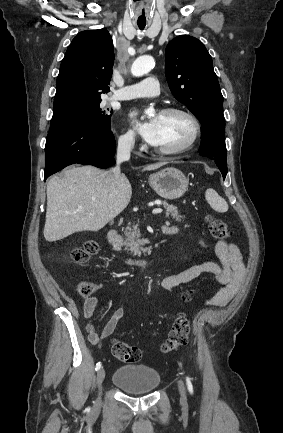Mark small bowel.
I'll use <instances>...</instances> for the list:
<instances>
[{
  "mask_svg": "<svg viewBox=\"0 0 283 433\" xmlns=\"http://www.w3.org/2000/svg\"><path fill=\"white\" fill-rule=\"evenodd\" d=\"M169 234H177L180 228L177 226L167 227ZM204 246L202 240H198ZM215 254L218 262H204L183 270L180 273L172 274L161 280V287L170 290L180 285L189 283L203 274L212 275L223 287L206 304L209 306H225L237 293L245 274L243 254L241 250L232 243L219 241L215 245ZM98 299L94 296L84 301L83 315L87 321L86 330L91 344H98L109 337L116 329L119 321L124 316V309L117 308L107 321L101 332H98L94 325V311Z\"/></svg>",
  "mask_w": 283,
  "mask_h": 433,
  "instance_id": "1",
  "label": "small bowel"
}]
</instances>
